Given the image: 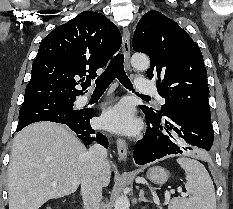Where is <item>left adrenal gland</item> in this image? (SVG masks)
<instances>
[{
    "instance_id": "a2214340",
    "label": "left adrenal gland",
    "mask_w": 233,
    "mask_h": 209,
    "mask_svg": "<svg viewBox=\"0 0 233 209\" xmlns=\"http://www.w3.org/2000/svg\"><path fill=\"white\" fill-rule=\"evenodd\" d=\"M139 201L140 202H150V201H148L145 197H144V191L143 190H141L140 191V194H139Z\"/></svg>"
}]
</instances>
